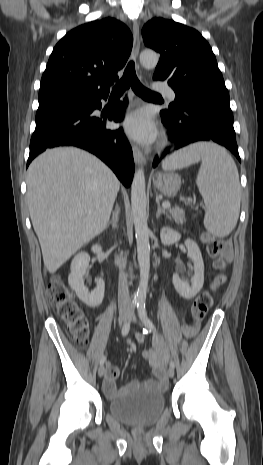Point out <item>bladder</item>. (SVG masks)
Listing matches in <instances>:
<instances>
[{
	"mask_svg": "<svg viewBox=\"0 0 263 465\" xmlns=\"http://www.w3.org/2000/svg\"><path fill=\"white\" fill-rule=\"evenodd\" d=\"M164 409V395L149 388L123 392L108 403V412L114 419L138 428L153 426Z\"/></svg>",
	"mask_w": 263,
	"mask_h": 465,
	"instance_id": "obj_1",
	"label": "bladder"
}]
</instances>
